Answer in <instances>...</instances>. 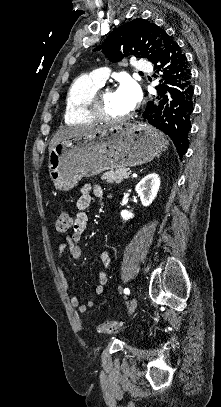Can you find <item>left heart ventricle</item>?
Instances as JSON below:
<instances>
[{
  "label": "left heart ventricle",
  "mask_w": 221,
  "mask_h": 407,
  "mask_svg": "<svg viewBox=\"0 0 221 407\" xmlns=\"http://www.w3.org/2000/svg\"><path fill=\"white\" fill-rule=\"evenodd\" d=\"M104 100L106 109L112 116L119 117L131 112L115 90L107 91L104 94Z\"/></svg>",
  "instance_id": "b2bd125f"
}]
</instances>
